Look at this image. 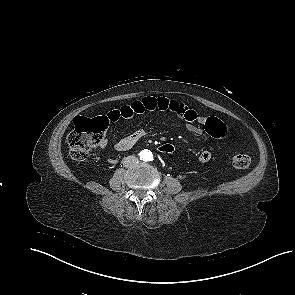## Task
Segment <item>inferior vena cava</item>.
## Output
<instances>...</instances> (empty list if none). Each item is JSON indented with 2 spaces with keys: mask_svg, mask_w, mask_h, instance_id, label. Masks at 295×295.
I'll return each instance as SVG.
<instances>
[{
  "mask_svg": "<svg viewBox=\"0 0 295 295\" xmlns=\"http://www.w3.org/2000/svg\"><path fill=\"white\" fill-rule=\"evenodd\" d=\"M138 163V158L135 156H127L123 159V165L125 167H132Z\"/></svg>",
  "mask_w": 295,
  "mask_h": 295,
  "instance_id": "1",
  "label": "inferior vena cava"
}]
</instances>
